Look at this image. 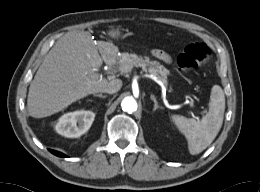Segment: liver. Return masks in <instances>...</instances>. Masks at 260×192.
Instances as JSON below:
<instances>
[{"instance_id":"obj_1","label":"liver","mask_w":260,"mask_h":192,"mask_svg":"<svg viewBox=\"0 0 260 192\" xmlns=\"http://www.w3.org/2000/svg\"><path fill=\"white\" fill-rule=\"evenodd\" d=\"M113 37V31L109 32ZM111 44L98 46L89 32H69L45 56L30 84L27 107L34 118L55 114L108 84L97 71ZM99 52L101 55H99Z\"/></svg>"}]
</instances>
